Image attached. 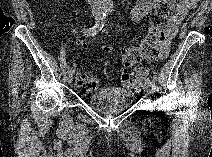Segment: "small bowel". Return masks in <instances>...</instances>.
Returning a JSON list of instances; mask_svg holds the SVG:
<instances>
[{
  "instance_id": "obj_1",
  "label": "small bowel",
  "mask_w": 212,
  "mask_h": 157,
  "mask_svg": "<svg viewBox=\"0 0 212 157\" xmlns=\"http://www.w3.org/2000/svg\"><path fill=\"white\" fill-rule=\"evenodd\" d=\"M154 5L153 0H139L136 1L131 9V16L133 20L140 21L146 16ZM196 5L195 0H181L178 2L176 10L168 20L166 28L164 31L168 34V37H164L160 44V55L158 56L159 60H164L168 56L169 46L171 39L175 36L179 25L186 16V14L194 9ZM77 46L82 50H87L88 45L82 42H78ZM147 69L142 67V72L135 79H130L123 82V87L127 90H138L143 79L146 77Z\"/></svg>"
}]
</instances>
